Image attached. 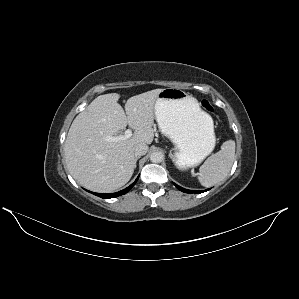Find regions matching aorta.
I'll return each instance as SVG.
<instances>
[{
  "mask_svg": "<svg viewBox=\"0 0 299 299\" xmlns=\"http://www.w3.org/2000/svg\"><path fill=\"white\" fill-rule=\"evenodd\" d=\"M163 158H164V155L161 153V152H153L151 155H150V160L153 162V163H160L163 161Z\"/></svg>",
  "mask_w": 299,
  "mask_h": 299,
  "instance_id": "aorta-1",
  "label": "aorta"
}]
</instances>
